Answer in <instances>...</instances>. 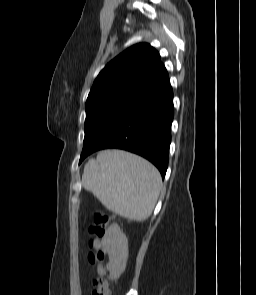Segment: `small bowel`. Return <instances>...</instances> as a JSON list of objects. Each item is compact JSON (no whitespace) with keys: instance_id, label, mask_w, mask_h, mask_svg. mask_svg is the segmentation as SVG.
Returning <instances> with one entry per match:
<instances>
[{"instance_id":"1","label":"small bowel","mask_w":256,"mask_h":295,"mask_svg":"<svg viewBox=\"0 0 256 295\" xmlns=\"http://www.w3.org/2000/svg\"><path fill=\"white\" fill-rule=\"evenodd\" d=\"M102 250L108 255L109 266L114 277L125 267L128 257V241L117 224L111 225L101 240H96Z\"/></svg>"}]
</instances>
